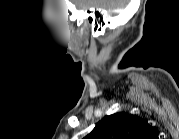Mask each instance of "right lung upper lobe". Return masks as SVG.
I'll list each match as a JSON object with an SVG mask.
<instances>
[{"label": "right lung upper lobe", "instance_id": "cb5924a9", "mask_svg": "<svg viewBox=\"0 0 179 139\" xmlns=\"http://www.w3.org/2000/svg\"><path fill=\"white\" fill-rule=\"evenodd\" d=\"M154 135L148 122L136 115L119 112L97 123L86 139H149Z\"/></svg>", "mask_w": 179, "mask_h": 139}]
</instances>
